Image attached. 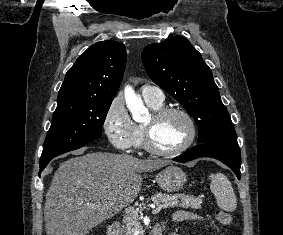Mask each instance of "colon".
Instances as JSON below:
<instances>
[{"mask_svg":"<svg viewBox=\"0 0 283 235\" xmlns=\"http://www.w3.org/2000/svg\"><path fill=\"white\" fill-rule=\"evenodd\" d=\"M216 217L221 225L228 226L232 223V215L229 212L218 211Z\"/></svg>","mask_w":283,"mask_h":235,"instance_id":"1","label":"colon"}]
</instances>
